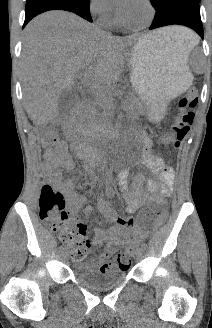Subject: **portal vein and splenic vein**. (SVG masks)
<instances>
[{
    "mask_svg": "<svg viewBox=\"0 0 212 328\" xmlns=\"http://www.w3.org/2000/svg\"><path fill=\"white\" fill-rule=\"evenodd\" d=\"M85 75H87V76H88V75H89V73H88V72H86V73H85Z\"/></svg>",
    "mask_w": 212,
    "mask_h": 328,
    "instance_id": "obj_1",
    "label": "portal vein and splenic vein"
}]
</instances>
